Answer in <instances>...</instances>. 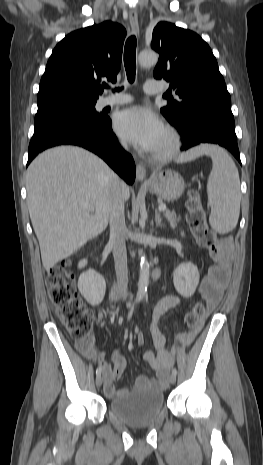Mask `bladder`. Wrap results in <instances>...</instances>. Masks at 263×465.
<instances>
[{
    "label": "bladder",
    "mask_w": 263,
    "mask_h": 465,
    "mask_svg": "<svg viewBox=\"0 0 263 465\" xmlns=\"http://www.w3.org/2000/svg\"><path fill=\"white\" fill-rule=\"evenodd\" d=\"M109 412L133 428L152 425L164 409V395L151 387H138L126 391L108 404Z\"/></svg>",
    "instance_id": "1"
}]
</instances>
